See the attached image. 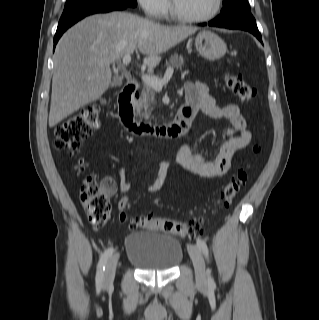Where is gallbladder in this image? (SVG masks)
I'll list each match as a JSON object with an SVG mask.
<instances>
[{
  "mask_svg": "<svg viewBox=\"0 0 319 320\" xmlns=\"http://www.w3.org/2000/svg\"><path fill=\"white\" fill-rule=\"evenodd\" d=\"M122 84V81L120 79H114L112 82V86L116 87V86H120Z\"/></svg>",
  "mask_w": 319,
  "mask_h": 320,
  "instance_id": "obj_1",
  "label": "gallbladder"
}]
</instances>
